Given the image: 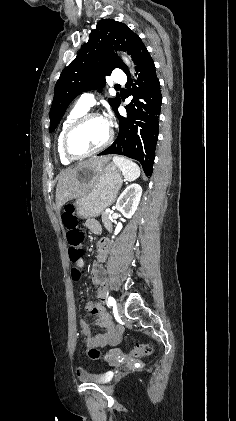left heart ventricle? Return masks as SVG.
I'll use <instances>...</instances> for the list:
<instances>
[{
	"label": "left heart ventricle",
	"mask_w": 236,
	"mask_h": 421,
	"mask_svg": "<svg viewBox=\"0 0 236 421\" xmlns=\"http://www.w3.org/2000/svg\"><path fill=\"white\" fill-rule=\"evenodd\" d=\"M108 132L109 126L104 119H88L72 133L70 139L71 148L78 154L89 152L106 140Z\"/></svg>",
	"instance_id": "obj_1"
}]
</instances>
